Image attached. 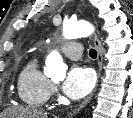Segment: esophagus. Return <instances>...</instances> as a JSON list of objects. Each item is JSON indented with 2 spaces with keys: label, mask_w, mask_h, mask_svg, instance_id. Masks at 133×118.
<instances>
[{
  "label": "esophagus",
  "mask_w": 133,
  "mask_h": 118,
  "mask_svg": "<svg viewBox=\"0 0 133 118\" xmlns=\"http://www.w3.org/2000/svg\"><path fill=\"white\" fill-rule=\"evenodd\" d=\"M82 3L84 5V1H82ZM94 45L97 49V62H98V68H99L98 75L100 77L101 73H102V66H103V48H102L100 40L98 39V37L96 35L94 36ZM91 98H92V95L89 96L87 99H85L80 104V106L73 111V114L79 112L83 107H85L86 104L91 100ZM71 115H72V113H71Z\"/></svg>",
  "instance_id": "obj_1"
}]
</instances>
